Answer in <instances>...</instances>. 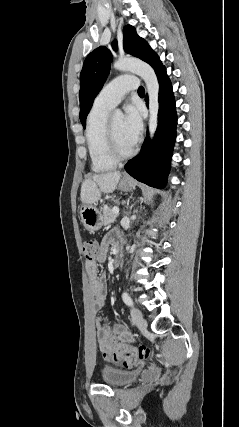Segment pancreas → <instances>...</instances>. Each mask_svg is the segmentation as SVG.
Masks as SVG:
<instances>
[{
	"label": "pancreas",
	"instance_id": "pancreas-1",
	"mask_svg": "<svg viewBox=\"0 0 239 427\" xmlns=\"http://www.w3.org/2000/svg\"><path fill=\"white\" fill-rule=\"evenodd\" d=\"M103 224L104 225H108L111 224L115 221L116 217L118 216V214H114L112 209L110 207L105 206L103 208Z\"/></svg>",
	"mask_w": 239,
	"mask_h": 427
}]
</instances>
